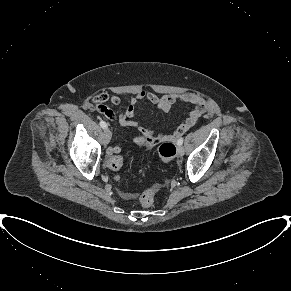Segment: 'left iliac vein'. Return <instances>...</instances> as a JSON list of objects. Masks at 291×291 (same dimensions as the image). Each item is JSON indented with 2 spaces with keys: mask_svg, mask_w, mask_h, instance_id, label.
<instances>
[{
  "mask_svg": "<svg viewBox=\"0 0 291 291\" xmlns=\"http://www.w3.org/2000/svg\"><path fill=\"white\" fill-rule=\"evenodd\" d=\"M177 153H178L179 156H183L184 155L185 150L181 145L178 146Z\"/></svg>",
  "mask_w": 291,
  "mask_h": 291,
  "instance_id": "1",
  "label": "left iliac vein"
}]
</instances>
